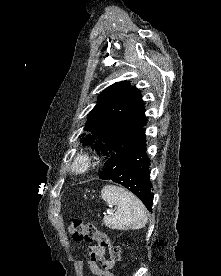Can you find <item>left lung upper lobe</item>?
Masks as SVG:
<instances>
[{
	"label": "left lung upper lobe",
	"instance_id": "obj_1",
	"mask_svg": "<svg viewBox=\"0 0 221 276\" xmlns=\"http://www.w3.org/2000/svg\"><path fill=\"white\" fill-rule=\"evenodd\" d=\"M146 123L139 89L129 81L114 83L100 94L88 114L84 130L89 135L82 140L107 160L137 142Z\"/></svg>",
	"mask_w": 221,
	"mask_h": 276
}]
</instances>
